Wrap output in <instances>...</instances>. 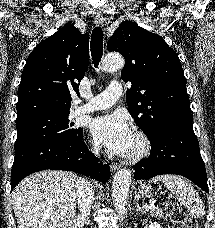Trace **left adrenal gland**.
Wrapping results in <instances>:
<instances>
[{
    "instance_id": "left-adrenal-gland-1",
    "label": "left adrenal gland",
    "mask_w": 215,
    "mask_h": 228,
    "mask_svg": "<svg viewBox=\"0 0 215 228\" xmlns=\"http://www.w3.org/2000/svg\"><path fill=\"white\" fill-rule=\"evenodd\" d=\"M135 204H136V208H137L136 212H142V208H140L138 202H135ZM142 214H146V212H142Z\"/></svg>"
}]
</instances>
